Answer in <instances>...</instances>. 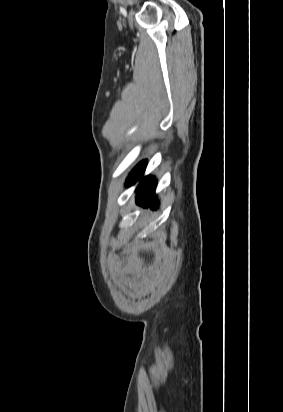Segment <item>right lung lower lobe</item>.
<instances>
[{
	"instance_id": "obj_1",
	"label": "right lung lower lobe",
	"mask_w": 283,
	"mask_h": 412,
	"mask_svg": "<svg viewBox=\"0 0 283 412\" xmlns=\"http://www.w3.org/2000/svg\"><path fill=\"white\" fill-rule=\"evenodd\" d=\"M146 168V161L140 162L132 171L127 179L126 185H133L137 180L141 179V183L137 188L136 202L144 207L150 206L155 209L157 203L155 202V187L156 181L154 178L145 177L142 179L143 173Z\"/></svg>"
}]
</instances>
